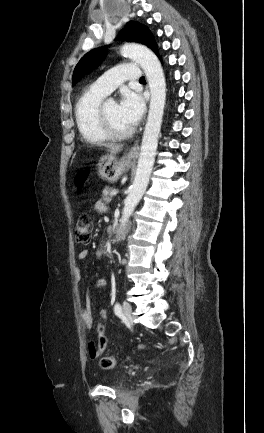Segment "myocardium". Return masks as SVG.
<instances>
[{"instance_id":"f54148a6","label":"myocardium","mask_w":264,"mask_h":433,"mask_svg":"<svg viewBox=\"0 0 264 433\" xmlns=\"http://www.w3.org/2000/svg\"><path fill=\"white\" fill-rule=\"evenodd\" d=\"M106 102L101 103L98 110V118L101 125L102 130L107 135L108 138L115 140H123L131 137L135 132V128L132 127L126 131H118L111 124L107 111H106Z\"/></svg>"}]
</instances>
